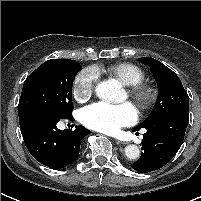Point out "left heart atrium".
Wrapping results in <instances>:
<instances>
[{
	"label": "left heart atrium",
	"instance_id": "obj_1",
	"mask_svg": "<svg viewBox=\"0 0 201 201\" xmlns=\"http://www.w3.org/2000/svg\"><path fill=\"white\" fill-rule=\"evenodd\" d=\"M137 111L131 103L109 104L97 102L81 111V120L87 127L108 134H114L125 126L134 124Z\"/></svg>",
	"mask_w": 201,
	"mask_h": 201
}]
</instances>
